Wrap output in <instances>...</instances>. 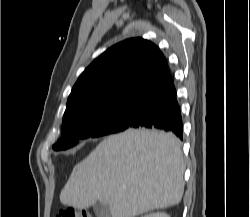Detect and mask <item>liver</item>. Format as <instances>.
<instances>
[{
    "instance_id": "6515ba94",
    "label": "liver",
    "mask_w": 250,
    "mask_h": 217,
    "mask_svg": "<svg viewBox=\"0 0 250 217\" xmlns=\"http://www.w3.org/2000/svg\"><path fill=\"white\" fill-rule=\"evenodd\" d=\"M181 142L157 130L111 135L72 170L60 202L88 209L97 202L112 217H135L178 204L184 191Z\"/></svg>"
}]
</instances>
